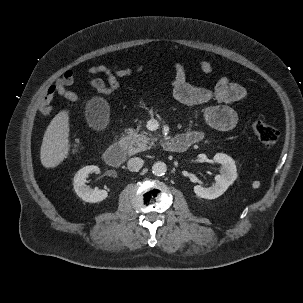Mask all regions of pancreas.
<instances>
[{"mask_svg": "<svg viewBox=\"0 0 303 303\" xmlns=\"http://www.w3.org/2000/svg\"><path fill=\"white\" fill-rule=\"evenodd\" d=\"M128 146V154L133 155L149 149L155 144L157 138L152 134L140 132V128H130L127 130V136L124 138Z\"/></svg>", "mask_w": 303, "mask_h": 303, "instance_id": "cf45deb5", "label": "pancreas"}]
</instances>
